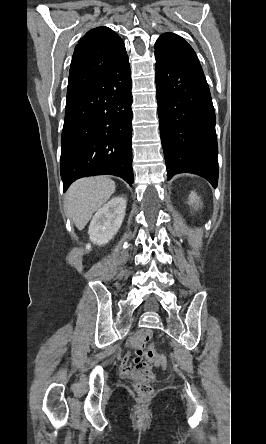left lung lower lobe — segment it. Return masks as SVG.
<instances>
[{
  "label": "left lung lower lobe",
  "mask_w": 266,
  "mask_h": 444,
  "mask_svg": "<svg viewBox=\"0 0 266 444\" xmlns=\"http://www.w3.org/2000/svg\"><path fill=\"white\" fill-rule=\"evenodd\" d=\"M156 59V94L168 180L198 174L218 182L215 112L203 70Z\"/></svg>",
  "instance_id": "1"
}]
</instances>
